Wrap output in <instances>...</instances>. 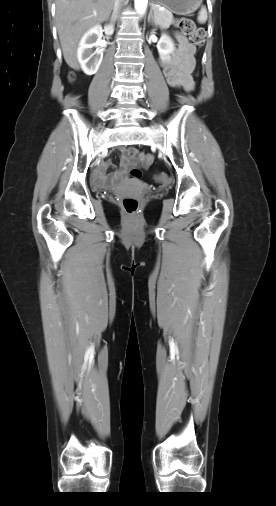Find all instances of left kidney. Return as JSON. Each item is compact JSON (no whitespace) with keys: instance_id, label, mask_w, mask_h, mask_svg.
<instances>
[{"instance_id":"left-kidney-1","label":"left kidney","mask_w":276,"mask_h":506,"mask_svg":"<svg viewBox=\"0 0 276 506\" xmlns=\"http://www.w3.org/2000/svg\"><path fill=\"white\" fill-rule=\"evenodd\" d=\"M157 49L162 60H169L170 54L174 52V43L172 39L163 34L157 44Z\"/></svg>"}]
</instances>
